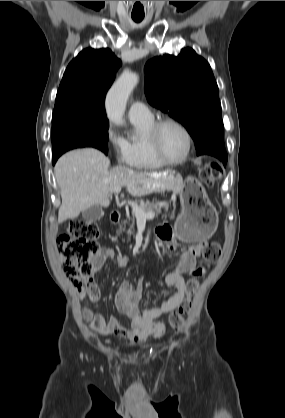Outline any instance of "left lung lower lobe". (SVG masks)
Returning a JSON list of instances; mask_svg holds the SVG:
<instances>
[{
	"instance_id": "1",
	"label": "left lung lower lobe",
	"mask_w": 285,
	"mask_h": 418,
	"mask_svg": "<svg viewBox=\"0 0 285 418\" xmlns=\"http://www.w3.org/2000/svg\"><path fill=\"white\" fill-rule=\"evenodd\" d=\"M222 152H215L212 154V156H215L216 158L220 157ZM219 159V158H218ZM225 165V164H224Z\"/></svg>"
}]
</instances>
